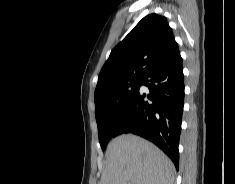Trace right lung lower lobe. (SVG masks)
Here are the masks:
<instances>
[{"instance_id":"right-lung-lower-lobe-1","label":"right lung lower lobe","mask_w":235,"mask_h":184,"mask_svg":"<svg viewBox=\"0 0 235 184\" xmlns=\"http://www.w3.org/2000/svg\"><path fill=\"white\" fill-rule=\"evenodd\" d=\"M150 95L139 93L122 117L115 135L133 133L157 145L179 166V137L184 106V75L179 50L143 79ZM150 99L148 102L145 98Z\"/></svg>"}]
</instances>
